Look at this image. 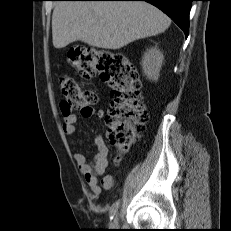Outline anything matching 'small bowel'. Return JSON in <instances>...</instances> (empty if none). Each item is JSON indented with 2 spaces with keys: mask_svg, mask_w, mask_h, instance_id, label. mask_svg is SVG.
<instances>
[{
  "mask_svg": "<svg viewBox=\"0 0 231 231\" xmlns=\"http://www.w3.org/2000/svg\"><path fill=\"white\" fill-rule=\"evenodd\" d=\"M81 115L85 118L96 115L102 118L104 115L103 110L87 109L81 111ZM77 116L73 113L64 115L62 129L65 134L73 135L76 132ZM95 151L92 160H88L84 153L78 152L74 155L75 161L83 174L85 181L90 187L94 195H100L102 189H112L115 185V179L111 175H104L108 166V148L104 138L100 135L94 139ZM103 176L101 183L98 177Z\"/></svg>",
  "mask_w": 231,
  "mask_h": 231,
  "instance_id": "small-bowel-1",
  "label": "small bowel"
}]
</instances>
